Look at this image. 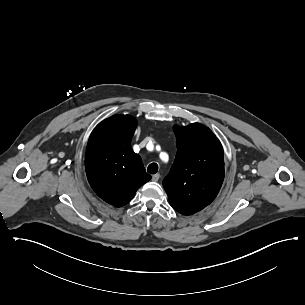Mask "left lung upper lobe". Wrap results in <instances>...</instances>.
<instances>
[{
  "instance_id": "5c2ea615",
  "label": "left lung upper lobe",
  "mask_w": 305,
  "mask_h": 305,
  "mask_svg": "<svg viewBox=\"0 0 305 305\" xmlns=\"http://www.w3.org/2000/svg\"><path fill=\"white\" fill-rule=\"evenodd\" d=\"M177 154L163 181L170 205L184 215L194 214L217 196L224 179V154L220 141L206 126L175 125Z\"/></svg>"
}]
</instances>
